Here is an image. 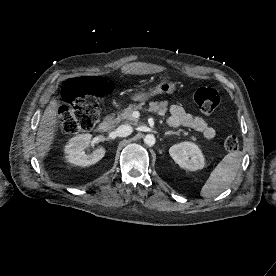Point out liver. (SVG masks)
<instances>
[{
    "label": "liver",
    "mask_w": 276,
    "mask_h": 276,
    "mask_svg": "<svg viewBox=\"0 0 276 276\" xmlns=\"http://www.w3.org/2000/svg\"><path fill=\"white\" fill-rule=\"evenodd\" d=\"M164 70L165 68L162 66L143 62H133L121 67V72L127 75L155 74ZM57 115L58 101L56 98H53L43 113L37 132L36 148L40 159H43L47 155L55 138Z\"/></svg>",
    "instance_id": "liver-1"
}]
</instances>
